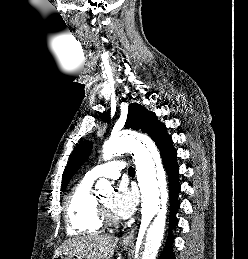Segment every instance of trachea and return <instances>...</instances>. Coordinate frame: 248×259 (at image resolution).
Segmentation results:
<instances>
[{"mask_svg": "<svg viewBox=\"0 0 248 259\" xmlns=\"http://www.w3.org/2000/svg\"><path fill=\"white\" fill-rule=\"evenodd\" d=\"M128 173L129 174H135V169L133 167H129Z\"/></svg>", "mask_w": 248, "mask_h": 259, "instance_id": "1", "label": "trachea"}]
</instances>
